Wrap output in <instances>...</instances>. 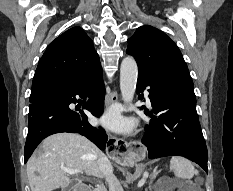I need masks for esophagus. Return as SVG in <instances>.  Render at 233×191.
<instances>
[{
	"mask_svg": "<svg viewBox=\"0 0 233 191\" xmlns=\"http://www.w3.org/2000/svg\"><path fill=\"white\" fill-rule=\"evenodd\" d=\"M118 99L117 91L112 90L106 96V107L116 103ZM105 151H107L108 156L113 157V161L117 164H128L132 162L133 159L138 160L142 158L145 153V148L139 141H133L131 144H128L123 139L109 134Z\"/></svg>",
	"mask_w": 233,
	"mask_h": 191,
	"instance_id": "1",
	"label": "esophagus"
}]
</instances>
